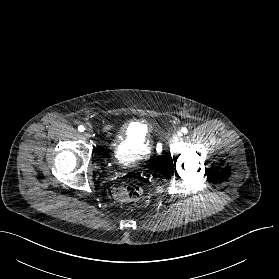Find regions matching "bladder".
<instances>
[{"label":"bladder","mask_w":279,"mask_h":279,"mask_svg":"<svg viewBox=\"0 0 279 279\" xmlns=\"http://www.w3.org/2000/svg\"><path fill=\"white\" fill-rule=\"evenodd\" d=\"M149 151L148 127L141 122L132 121L122 129L118 141L113 147V157L117 162L125 163L133 156L145 157Z\"/></svg>","instance_id":"bladder-1"}]
</instances>
